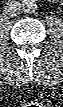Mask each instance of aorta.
<instances>
[{
  "label": "aorta",
  "instance_id": "obj_1",
  "mask_svg": "<svg viewBox=\"0 0 63 107\" xmlns=\"http://www.w3.org/2000/svg\"><path fill=\"white\" fill-rule=\"evenodd\" d=\"M22 8L26 13H33L37 9V4L35 0H24Z\"/></svg>",
  "mask_w": 63,
  "mask_h": 107
}]
</instances>
